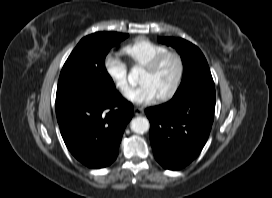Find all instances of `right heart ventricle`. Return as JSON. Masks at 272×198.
I'll use <instances>...</instances> for the list:
<instances>
[{
	"label": "right heart ventricle",
	"instance_id": "right-heart-ventricle-1",
	"mask_svg": "<svg viewBox=\"0 0 272 198\" xmlns=\"http://www.w3.org/2000/svg\"><path fill=\"white\" fill-rule=\"evenodd\" d=\"M169 49L160 43L148 38H138L123 46V53L134 66L145 67L154 57Z\"/></svg>",
	"mask_w": 272,
	"mask_h": 198
}]
</instances>
